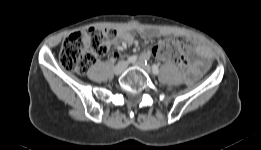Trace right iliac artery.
Wrapping results in <instances>:
<instances>
[{
    "mask_svg": "<svg viewBox=\"0 0 261 150\" xmlns=\"http://www.w3.org/2000/svg\"><path fill=\"white\" fill-rule=\"evenodd\" d=\"M136 60H137V56L136 55L130 56L127 59L128 62H135Z\"/></svg>",
    "mask_w": 261,
    "mask_h": 150,
    "instance_id": "obj_1",
    "label": "right iliac artery"
}]
</instances>
